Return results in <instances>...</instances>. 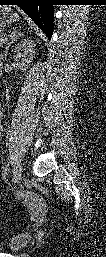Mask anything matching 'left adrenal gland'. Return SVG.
<instances>
[{
    "label": "left adrenal gland",
    "instance_id": "left-adrenal-gland-1",
    "mask_svg": "<svg viewBox=\"0 0 106 257\" xmlns=\"http://www.w3.org/2000/svg\"><path fill=\"white\" fill-rule=\"evenodd\" d=\"M21 35H23V34H22L21 32H18V31L16 30V28L13 29V32L10 34V36H9V41H8L6 47H5V59H6V57H7V53H8L9 47H10L11 44H13V43L17 40V38H18L19 36H21Z\"/></svg>",
    "mask_w": 106,
    "mask_h": 257
}]
</instances>
